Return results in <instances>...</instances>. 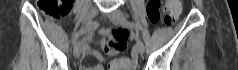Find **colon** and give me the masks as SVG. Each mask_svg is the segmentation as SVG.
<instances>
[{
    "instance_id": "1",
    "label": "colon",
    "mask_w": 238,
    "mask_h": 70,
    "mask_svg": "<svg viewBox=\"0 0 238 70\" xmlns=\"http://www.w3.org/2000/svg\"><path fill=\"white\" fill-rule=\"evenodd\" d=\"M39 7L42 12L53 19H60L66 16L71 9L70 0H40ZM161 7L162 2L159 0H151L147 4V14L149 20L153 24L159 23L161 18ZM182 8V2L180 0H168L165 4L164 10L167 12L163 18V22L166 25H171L174 23L178 17ZM111 40L108 42L110 46L123 50L126 47V39L128 37V32L123 29H111L109 30ZM129 67V61L127 59H115L110 62L109 70H126Z\"/></svg>"
}]
</instances>
